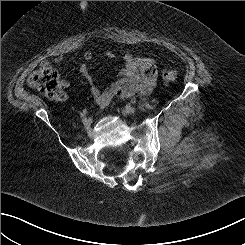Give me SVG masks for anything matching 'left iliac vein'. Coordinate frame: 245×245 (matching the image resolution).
<instances>
[{
  "mask_svg": "<svg viewBox=\"0 0 245 245\" xmlns=\"http://www.w3.org/2000/svg\"><path fill=\"white\" fill-rule=\"evenodd\" d=\"M125 113L127 114H134L136 112V108H134L133 106H126L125 110H124Z\"/></svg>",
  "mask_w": 245,
  "mask_h": 245,
  "instance_id": "4c4485c4",
  "label": "left iliac vein"
}]
</instances>
